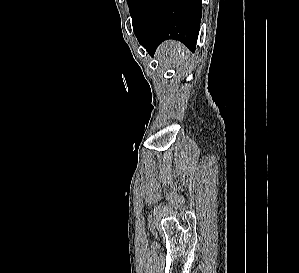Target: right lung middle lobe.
<instances>
[{
  "label": "right lung middle lobe",
  "mask_w": 299,
  "mask_h": 273,
  "mask_svg": "<svg viewBox=\"0 0 299 273\" xmlns=\"http://www.w3.org/2000/svg\"><path fill=\"white\" fill-rule=\"evenodd\" d=\"M127 2H128L129 8H130V13H131V10H132L135 0H128Z\"/></svg>",
  "instance_id": "right-lung-middle-lobe-1"
}]
</instances>
